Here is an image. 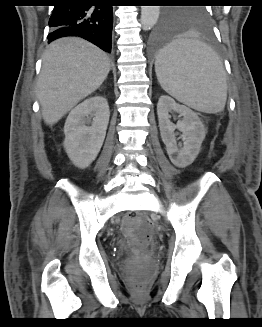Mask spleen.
<instances>
[{"label": "spleen", "instance_id": "obj_1", "mask_svg": "<svg viewBox=\"0 0 262 327\" xmlns=\"http://www.w3.org/2000/svg\"><path fill=\"white\" fill-rule=\"evenodd\" d=\"M155 72L161 87L178 101L205 112L224 109L227 82L223 62L207 44L178 39L157 55Z\"/></svg>", "mask_w": 262, "mask_h": 327}]
</instances>
